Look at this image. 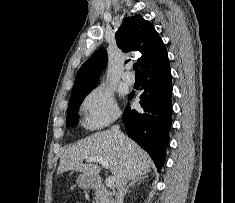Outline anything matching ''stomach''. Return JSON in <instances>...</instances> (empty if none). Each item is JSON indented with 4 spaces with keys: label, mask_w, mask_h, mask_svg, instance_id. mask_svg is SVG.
<instances>
[{
    "label": "stomach",
    "mask_w": 235,
    "mask_h": 203,
    "mask_svg": "<svg viewBox=\"0 0 235 203\" xmlns=\"http://www.w3.org/2000/svg\"><path fill=\"white\" fill-rule=\"evenodd\" d=\"M76 183L78 187L82 189H88L95 186L96 177L87 174H81L78 176Z\"/></svg>",
    "instance_id": "0dacf381"
}]
</instances>
